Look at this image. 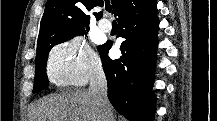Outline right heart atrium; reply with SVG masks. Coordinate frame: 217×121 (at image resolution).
Returning a JSON list of instances; mask_svg holds the SVG:
<instances>
[{"mask_svg":"<svg viewBox=\"0 0 217 121\" xmlns=\"http://www.w3.org/2000/svg\"><path fill=\"white\" fill-rule=\"evenodd\" d=\"M102 73L99 56L80 39L55 46L47 61V75L56 86H81Z\"/></svg>","mask_w":217,"mask_h":121,"instance_id":"1","label":"right heart atrium"}]
</instances>
